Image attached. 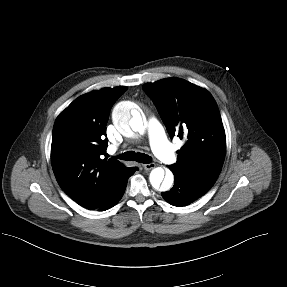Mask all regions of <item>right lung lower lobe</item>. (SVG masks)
Segmentation results:
<instances>
[{"label":"right lung lower lobe","mask_w":287,"mask_h":287,"mask_svg":"<svg viewBox=\"0 0 287 287\" xmlns=\"http://www.w3.org/2000/svg\"><path fill=\"white\" fill-rule=\"evenodd\" d=\"M137 170V168L134 169V171L132 172V174ZM131 174V175H132ZM130 175V176H131ZM129 176V177H130ZM128 177V178H129ZM127 178V180H128ZM127 180L124 181V183L117 189V191L114 193V195L112 196V198L110 199V201L104 203L103 205H101L100 207L96 208L99 211H105L110 209L111 207H113L123 196L124 191L126 189V185H127Z\"/></svg>","instance_id":"98d812e1"}]
</instances>
